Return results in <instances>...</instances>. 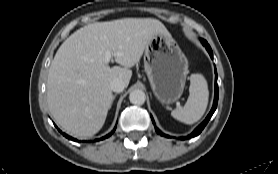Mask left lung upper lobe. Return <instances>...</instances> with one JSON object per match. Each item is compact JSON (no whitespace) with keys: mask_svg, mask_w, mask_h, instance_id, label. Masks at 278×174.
<instances>
[{"mask_svg":"<svg viewBox=\"0 0 278 174\" xmlns=\"http://www.w3.org/2000/svg\"><path fill=\"white\" fill-rule=\"evenodd\" d=\"M202 41V44L204 45V46H206V45H208V43L205 41V40H201Z\"/></svg>","mask_w":278,"mask_h":174,"instance_id":"obj_1","label":"left lung upper lobe"}]
</instances>
